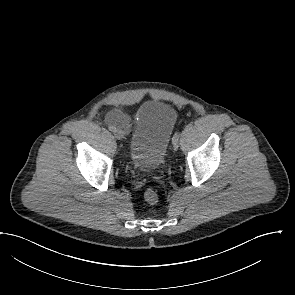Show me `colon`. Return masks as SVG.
<instances>
[{
    "label": "colon",
    "instance_id": "1",
    "mask_svg": "<svg viewBox=\"0 0 295 295\" xmlns=\"http://www.w3.org/2000/svg\"><path fill=\"white\" fill-rule=\"evenodd\" d=\"M144 198L145 200L149 203V204H155L158 202V194L157 192L152 189V188H148L145 192H144Z\"/></svg>",
    "mask_w": 295,
    "mask_h": 295
}]
</instances>
